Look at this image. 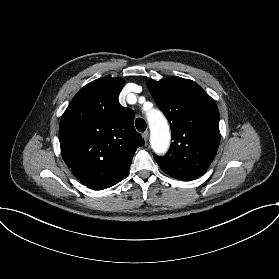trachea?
I'll return each mask as SVG.
<instances>
[{
	"instance_id": "3493384b",
	"label": "trachea",
	"mask_w": 279,
	"mask_h": 279,
	"mask_svg": "<svg viewBox=\"0 0 279 279\" xmlns=\"http://www.w3.org/2000/svg\"><path fill=\"white\" fill-rule=\"evenodd\" d=\"M135 126L140 132H144L146 130V122L142 118H138L135 121Z\"/></svg>"
}]
</instances>
